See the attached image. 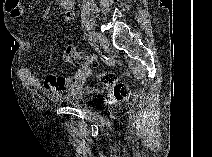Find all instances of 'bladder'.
Masks as SVG:
<instances>
[{"label":"bladder","mask_w":212,"mask_h":157,"mask_svg":"<svg viewBox=\"0 0 212 157\" xmlns=\"http://www.w3.org/2000/svg\"><path fill=\"white\" fill-rule=\"evenodd\" d=\"M103 95V90L99 87H85L77 92L66 95L62 101L71 106L88 110L95 106Z\"/></svg>","instance_id":"1"}]
</instances>
